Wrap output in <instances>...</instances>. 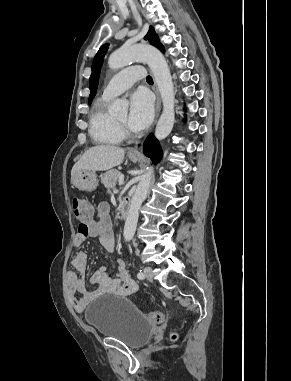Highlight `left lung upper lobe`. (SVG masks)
I'll use <instances>...</instances> for the list:
<instances>
[{
	"label": "left lung upper lobe",
	"mask_w": 291,
	"mask_h": 381,
	"mask_svg": "<svg viewBox=\"0 0 291 381\" xmlns=\"http://www.w3.org/2000/svg\"><path fill=\"white\" fill-rule=\"evenodd\" d=\"M146 40H149V42L157 47L159 50L164 52V47L163 45L159 42L158 36L155 34L153 27H150L149 32L145 36ZM108 44L103 45L100 50L97 52L93 64H92V74L90 76V83H89V88H90V95H89V104L91 103L92 99L94 98L97 87H98V81H99V75H100V69L102 66L103 58L104 55L108 49Z\"/></svg>",
	"instance_id": "left-lung-upper-lobe-1"
}]
</instances>
